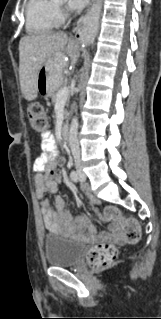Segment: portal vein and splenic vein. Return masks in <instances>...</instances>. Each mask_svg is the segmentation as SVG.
Returning <instances> with one entry per match:
<instances>
[{"label": "portal vein and splenic vein", "instance_id": "obj_1", "mask_svg": "<svg viewBox=\"0 0 161 319\" xmlns=\"http://www.w3.org/2000/svg\"><path fill=\"white\" fill-rule=\"evenodd\" d=\"M68 94H69V89L67 87H63L62 89L58 91L57 98L66 99L68 97Z\"/></svg>", "mask_w": 161, "mask_h": 319}]
</instances>
